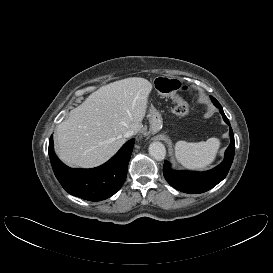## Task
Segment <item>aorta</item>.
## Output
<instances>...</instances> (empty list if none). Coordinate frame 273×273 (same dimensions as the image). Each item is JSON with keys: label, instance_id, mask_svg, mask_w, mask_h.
Masks as SVG:
<instances>
[{"label": "aorta", "instance_id": "obj_1", "mask_svg": "<svg viewBox=\"0 0 273 273\" xmlns=\"http://www.w3.org/2000/svg\"><path fill=\"white\" fill-rule=\"evenodd\" d=\"M149 154L154 159L161 161L166 156V148L161 142H152L149 145Z\"/></svg>", "mask_w": 273, "mask_h": 273}]
</instances>
